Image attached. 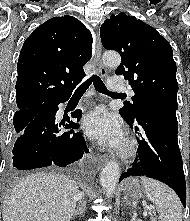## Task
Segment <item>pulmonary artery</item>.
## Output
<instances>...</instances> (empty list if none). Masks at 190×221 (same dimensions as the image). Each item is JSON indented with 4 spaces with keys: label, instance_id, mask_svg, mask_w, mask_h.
Listing matches in <instances>:
<instances>
[{
    "label": "pulmonary artery",
    "instance_id": "obj_1",
    "mask_svg": "<svg viewBox=\"0 0 190 221\" xmlns=\"http://www.w3.org/2000/svg\"><path fill=\"white\" fill-rule=\"evenodd\" d=\"M108 87L114 91H123L125 89L122 80L118 77L109 79Z\"/></svg>",
    "mask_w": 190,
    "mask_h": 221
}]
</instances>
